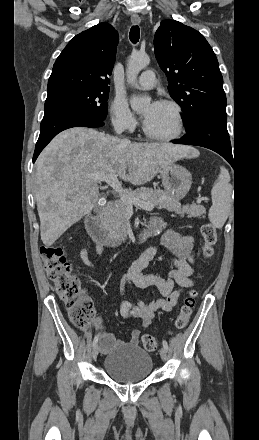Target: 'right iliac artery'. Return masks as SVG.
<instances>
[{"instance_id":"right-iliac-artery-1","label":"right iliac artery","mask_w":259,"mask_h":440,"mask_svg":"<svg viewBox=\"0 0 259 440\" xmlns=\"http://www.w3.org/2000/svg\"><path fill=\"white\" fill-rule=\"evenodd\" d=\"M97 342H98V335H96L93 339V342H92L93 347L97 344Z\"/></svg>"}]
</instances>
